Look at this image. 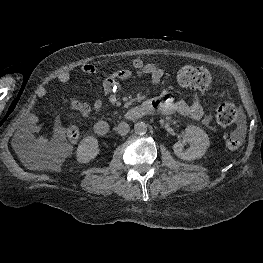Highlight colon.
I'll return each mask as SVG.
<instances>
[{
	"label": "colon",
	"mask_w": 263,
	"mask_h": 263,
	"mask_svg": "<svg viewBox=\"0 0 263 263\" xmlns=\"http://www.w3.org/2000/svg\"><path fill=\"white\" fill-rule=\"evenodd\" d=\"M177 80L180 85L206 91L211 85V75L203 67L187 65L182 67L177 73ZM237 117V108L231 102H223L216 108V121L222 126L231 125ZM68 141L76 144L80 138V132L76 126H69L65 130ZM226 147L231 151H236L243 144V135L239 131H231L224 136ZM49 158L54 165L60 163L62 154L57 149L49 151Z\"/></svg>",
	"instance_id": "1"
}]
</instances>
